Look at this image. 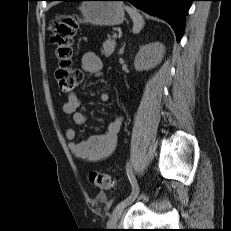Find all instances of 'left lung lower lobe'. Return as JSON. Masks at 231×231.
I'll list each match as a JSON object with an SVG mask.
<instances>
[{"label": "left lung lower lobe", "instance_id": "0a47b994", "mask_svg": "<svg viewBox=\"0 0 231 231\" xmlns=\"http://www.w3.org/2000/svg\"><path fill=\"white\" fill-rule=\"evenodd\" d=\"M128 1L138 9L164 19L168 22L175 34L177 41L183 35L185 16L193 0H119Z\"/></svg>", "mask_w": 231, "mask_h": 231}]
</instances>
